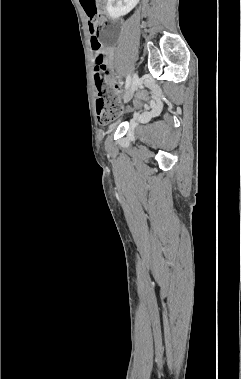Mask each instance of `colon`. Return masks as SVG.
Wrapping results in <instances>:
<instances>
[{
	"instance_id": "colon-1",
	"label": "colon",
	"mask_w": 241,
	"mask_h": 379,
	"mask_svg": "<svg viewBox=\"0 0 241 379\" xmlns=\"http://www.w3.org/2000/svg\"><path fill=\"white\" fill-rule=\"evenodd\" d=\"M102 0H80L89 22L91 32V46L95 53V75L94 81L97 91L96 107L98 118L102 123L112 121L120 111V100L118 96L105 83L107 68L103 63V51L98 39L97 21L101 17Z\"/></svg>"
}]
</instances>
